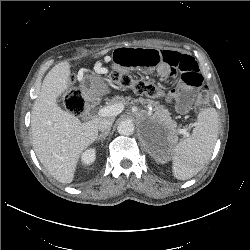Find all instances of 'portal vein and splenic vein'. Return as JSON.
<instances>
[{"label": "portal vein and splenic vein", "mask_w": 250, "mask_h": 250, "mask_svg": "<svg viewBox=\"0 0 250 250\" xmlns=\"http://www.w3.org/2000/svg\"><path fill=\"white\" fill-rule=\"evenodd\" d=\"M123 110H124V104L116 103L99 109L97 114L100 117L116 116L120 114ZM177 131L179 134H182L186 137L189 136V132L187 131L186 128L179 127Z\"/></svg>", "instance_id": "18ae733b"}]
</instances>
